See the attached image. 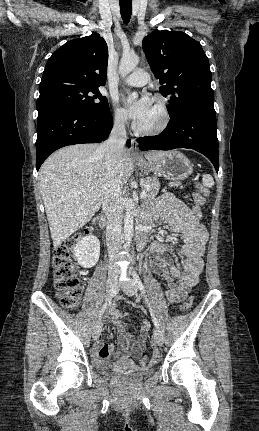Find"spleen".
I'll return each instance as SVG.
<instances>
[{"instance_id":"3e777b00","label":"spleen","mask_w":259,"mask_h":431,"mask_svg":"<svg viewBox=\"0 0 259 431\" xmlns=\"http://www.w3.org/2000/svg\"><path fill=\"white\" fill-rule=\"evenodd\" d=\"M202 182H203V185L208 188L214 185L213 177L210 174H204Z\"/></svg>"}]
</instances>
